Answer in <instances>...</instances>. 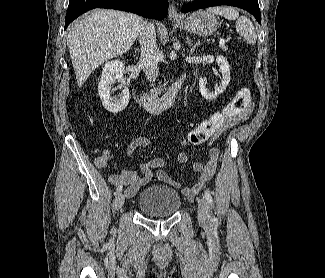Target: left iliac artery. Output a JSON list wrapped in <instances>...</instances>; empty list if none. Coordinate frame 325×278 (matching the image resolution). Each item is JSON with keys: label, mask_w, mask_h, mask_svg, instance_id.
Instances as JSON below:
<instances>
[{"label": "left iliac artery", "mask_w": 325, "mask_h": 278, "mask_svg": "<svg viewBox=\"0 0 325 278\" xmlns=\"http://www.w3.org/2000/svg\"><path fill=\"white\" fill-rule=\"evenodd\" d=\"M204 197L207 200V202L212 206L213 205V199H212L211 194L209 192L205 191L204 192ZM213 220L216 221L217 219L214 217Z\"/></svg>", "instance_id": "1"}]
</instances>
